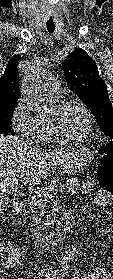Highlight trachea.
<instances>
[{
    "label": "trachea",
    "instance_id": "trachea-1",
    "mask_svg": "<svg viewBox=\"0 0 113 279\" xmlns=\"http://www.w3.org/2000/svg\"><path fill=\"white\" fill-rule=\"evenodd\" d=\"M47 30H48V32L53 33L54 30H55V26L54 25H47Z\"/></svg>",
    "mask_w": 113,
    "mask_h": 279
}]
</instances>
